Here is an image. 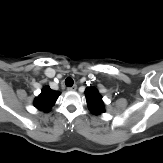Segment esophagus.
Returning <instances> with one entry per match:
<instances>
[{"label":"esophagus","instance_id":"esophagus-1","mask_svg":"<svg viewBox=\"0 0 163 163\" xmlns=\"http://www.w3.org/2000/svg\"><path fill=\"white\" fill-rule=\"evenodd\" d=\"M76 89H77L76 85L67 88L68 91H75Z\"/></svg>","mask_w":163,"mask_h":163}]
</instances>
